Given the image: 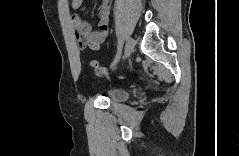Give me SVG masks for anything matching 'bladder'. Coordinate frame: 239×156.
Masks as SVG:
<instances>
[{"mask_svg":"<svg viewBox=\"0 0 239 156\" xmlns=\"http://www.w3.org/2000/svg\"><path fill=\"white\" fill-rule=\"evenodd\" d=\"M108 98L115 103H122L129 99L130 93L124 89H109L107 91Z\"/></svg>","mask_w":239,"mask_h":156,"instance_id":"1","label":"bladder"}]
</instances>
